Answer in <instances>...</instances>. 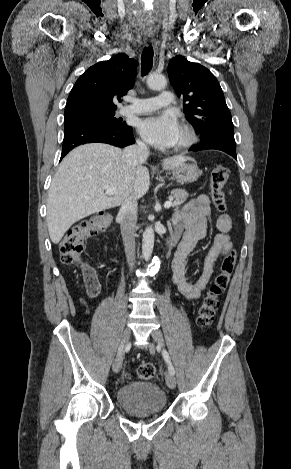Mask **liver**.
Returning <instances> with one entry per match:
<instances>
[{"label": "liver", "instance_id": "obj_1", "mask_svg": "<svg viewBox=\"0 0 291 469\" xmlns=\"http://www.w3.org/2000/svg\"><path fill=\"white\" fill-rule=\"evenodd\" d=\"M191 160L174 156L162 162L165 170H173ZM104 186L116 188L113 195L104 193ZM150 187L147 167L132 168L123 151L101 143L81 145L61 162L49 189L47 226L54 244L77 221L94 213L119 205L130 196L142 198Z\"/></svg>", "mask_w": 291, "mask_h": 469}]
</instances>
